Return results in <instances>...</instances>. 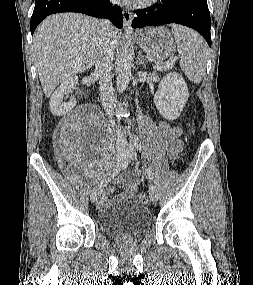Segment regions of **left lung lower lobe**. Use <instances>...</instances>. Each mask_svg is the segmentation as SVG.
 <instances>
[{"label":"left lung lower lobe","instance_id":"1","mask_svg":"<svg viewBox=\"0 0 253 285\" xmlns=\"http://www.w3.org/2000/svg\"><path fill=\"white\" fill-rule=\"evenodd\" d=\"M178 23L198 31L211 47L210 13L207 0H163L136 12L133 27Z\"/></svg>","mask_w":253,"mask_h":285}]
</instances>
